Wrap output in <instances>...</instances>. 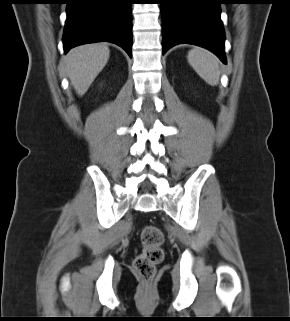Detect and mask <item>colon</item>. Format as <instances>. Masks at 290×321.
Returning <instances> with one entry per match:
<instances>
[{
    "label": "colon",
    "instance_id": "1",
    "mask_svg": "<svg viewBox=\"0 0 290 321\" xmlns=\"http://www.w3.org/2000/svg\"><path fill=\"white\" fill-rule=\"evenodd\" d=\"M164 235L157 226H146L141 234L142 251L134 260L136 275L145 283L150 282L156 273V266L164 258L162 248Z\"/></svg>",
    "mask_w": 290,
    "mask_h": 321
}]
</instances>
